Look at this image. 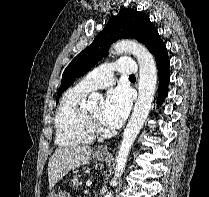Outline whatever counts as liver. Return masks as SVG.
Instances as JSON below:
<instances>
[{
	"label": "liver",
	"mask_w": 209,
	"mask_h": 197,
	"mask_svg": "<svg viewBox=\"0 0 209 197\" xmlns=\"http://www.w3.org/2000/svg\"><path fill=\"white\" fill-rule=\"evenodd\" d=\"M91 154L88 146L57 148L48 162L49 188L52 189L69 171L89 163Z\"/></svg>",
	"instance_id": "obj_1"
}]
</instances>
